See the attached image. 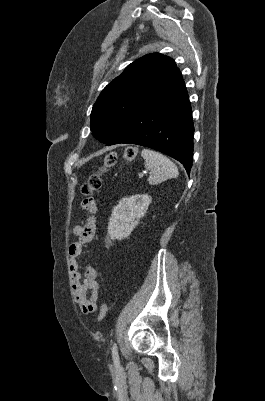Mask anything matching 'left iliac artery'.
I'll return each mask as SVG.
<instances>
[{
  "label": "left iliac artery",
  "mask_w": 265,
  "mask_h": 401,
  "mask_svg": "<svg viewBox=\"0 0 265 401\" xmlns=\"http://www.w3.org/2000/svg\"><path fill=\"white\" fill-rule=\"evenodd\" d=\"M112 357L114 361V365L116 368L120 367V361H119V355H118V349L116 343L113 344L112 346Z\"/></svg>",
  "instance_id": "obj_1"
}]
</instances>
